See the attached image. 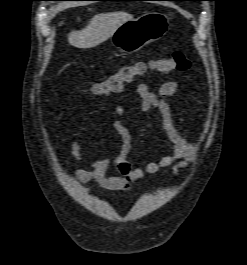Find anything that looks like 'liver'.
Wrapping results in <instances>:
<instances>
[{
	"instance_id": "1",
	"label": "liver",
	"mask_w": 247,
	"mask_h": 265,
	"mask_svg": "<svg viewBox=\"0 0 247 265\" xmlns=\"http://www.w3.org/2000/svg\"><path fill=\"white\" fill-rule=\"evenodd\" d=\"M132 19L133 15L127 12L97 14L84 29L71 31L68 34V42L76 48L95 47L110 38L123 23Z\"/></svg>"
}]
</instances>
